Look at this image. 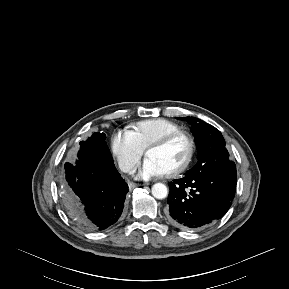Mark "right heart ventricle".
Instances as JSON below:
<instances>
[{
	"mask_svg": "<svg viewBox=\"0 0 289 289\" xmlns=\"http://www.w3.org/2000/svg\"><path fill=\"white\" fill-rule=\"evenodd\" d=\"M132 131L140 146L146 149L152 142L167 134L181 131V128L173 121L164 118H155L136 123Z\"/></svg>",
	"mask_w": 289,
	"mask_h": 289,
	"instance_id": "e07e8e85",
	"label": "right heart ventricle"
}]
</instances>
